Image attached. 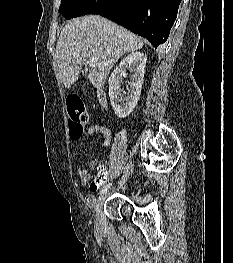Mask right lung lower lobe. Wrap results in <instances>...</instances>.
I'll list each match as a JSON object with an SVG mask.
<instances>
[{"instance_id": "1", "label": "right lung lower lobe", "mask_w": 233, "mask_h": 263, "mask_svg": "<svg viewBox=\"0 0 233 263\" xmlns=\"http://www.w3.org/2000/svg\"><path fill=\"white\" fill-rule=\"evenodd\" d=\"M181 0H118L93 9L99 14L146 38L155 47L163 44L177 17Z\"/></svg>"}]
</instances>
